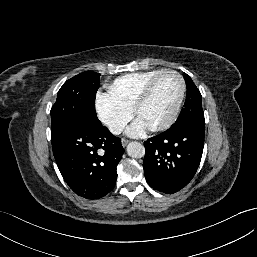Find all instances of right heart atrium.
<instances>
[{
  "label": "right heart atrium",
  "instance_id": "obj_1",
  "mask_svg": "<svg viewBox=\"0 0 257 257\" xmlns=\"http://www.w3.org/2000/svg\"><path fill=\"white\" fill-rule=\"evenodd\" d=\"M96 110L100 121L113 135H119L133 117L132 110L115 103L107 94L97 96ZM108 114L112 115L111 119Z\"/></svg>",
  "mask_w": 257,
  "mask_h": 257
}]
</instances>
